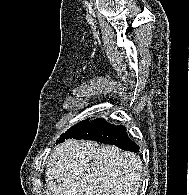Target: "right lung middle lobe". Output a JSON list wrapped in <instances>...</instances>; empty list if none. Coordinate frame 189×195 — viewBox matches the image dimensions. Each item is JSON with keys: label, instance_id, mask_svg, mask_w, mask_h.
<instances>
[{"label": "right lung middle lobe", "instance_id": "dd1d6c3e", "mask_svg": "<svg viewBox=\"0 0 189 195\" xmlns=\"http://www.w3.org/2000/svg\"><path fill=\"white\" fill-rule=\"evenodd\" d=\"M89 119L83 120L76 124L75 126L71 127L66 133L62 134L59 140H57L56 143L64 141L65 139L72 138L74 135H76L79 131H81L89 122Z\"/></svg>", "mask_w": 189, "mask_h": 195}]
</instances>
